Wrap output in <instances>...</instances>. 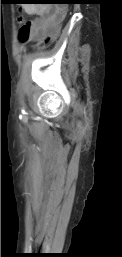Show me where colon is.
I'll return each mask as SVG.
<instances>
[{"instance_id":"obj_1","label":"colon","mask_w":122,"mask_h":257,"mask_svg":"<svg viewBox=\"0 0 122 257\" xmlns=\"http://www.w3.org/2000/svg\"><path fill=\"white\" fill-rule=\"evenodd\" d=\"M60 10V16H67L69 13V8L67 5H60L59 6ZM19 21L22 22V18H19ZM64 19H59V21H55L54 26L52 27V30H48V34H46V37L44 39H42L40 41V43L38 44V48L39 49H44L46 47H48L54 39H58V35H62L63 31L61 29H63V24H64ZM28 24L24 23L20 29V40L22 42H25L28 40Z\"/></svg>"}]
</instances>
